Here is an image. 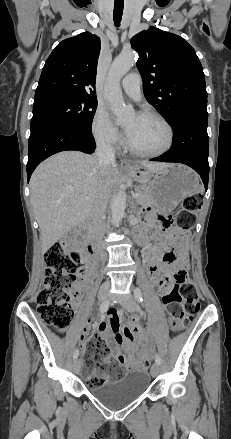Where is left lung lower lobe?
<instances>
[{"instance_id": "1", "label": "left lung lower lobe", "mask_w": 231, "mask_h": 439, "mask_svg": "<svg viewBox=\"0 0 231 439\" xmlns=\"http://www.w3.org/2000/svg\"><path fill=\"white\" fill-rule=\"evenodd\" d=\"M207 111H193L180 116L173 126V145L163 155L151 161L178 162L193 168L208 187Z\"/></svg>"}]
</instances>
